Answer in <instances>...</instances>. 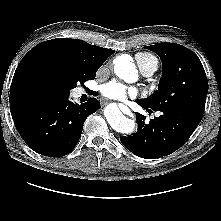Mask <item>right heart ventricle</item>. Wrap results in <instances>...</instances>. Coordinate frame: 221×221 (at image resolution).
Here are the masks:
<instances>
[{
    "label": "right heart ventricle",
    "instance_id": "e07e8e85",
    "mask_svg": "<svg viewBox=\"0 0 221 221\" xmlns=\"http://www.w3.org/2000/svg\"><path fill=\"white\" fill-rule=\"evenodd\" d=\"M135 58H136L138 65L141 68L150 64H154L158 67L157 58L150 53L141 52V53H138Z\"/></svg>",
    "mask_w": 221,
    "mask_h": 221
}]
</instances>
